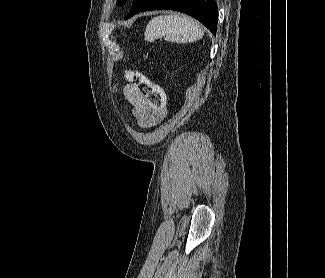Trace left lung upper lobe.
Here are the masks:
<instances>
[{
	"label": "left lung upper lobe",
	"instance_id": "left-lung-upper-lobe-1",
	"mask_svg": "<svg viewBox=\"0 0 325 278\" xmlns=\"http://www.w3.org/2000/svg\"><path fill=\"white\" fill-rule=\"evenodd\" d=\"M127 0H117L118 5H124Z\"/></svg>",
	"mask_w": 325,
	"mask_h": 278
}]
</instances>
